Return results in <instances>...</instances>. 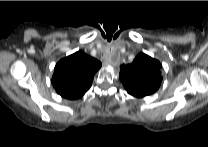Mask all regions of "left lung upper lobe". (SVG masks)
<instances>
[{
	"label": "left lung upper lobe",
	"mask_w": 208,
	"mask_h": 147,
	"mask_svg": "<svg viewBox=\"0 0 208 147\" xmlns=\"http://www.w3.org/2000/svg\"><path fill=\"white\" fill-rule=\"evenodd\" d=\"M119 78L130 95H150L157 91L161 84V64L141 53L131 64L120 67Z\"/></svg>",
	"instance_id": "5c2ea615"
}]
</instances>
